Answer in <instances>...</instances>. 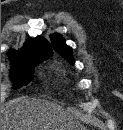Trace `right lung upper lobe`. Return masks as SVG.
I'll use <instances>...</instances> for the list:
<instances>
[{
  "mask_svg": "<svg viewBox=\"0 0 123 130\" xmlns=\"http://www.w3.org/2000/svg\"><path fill=\"white\" fill-rule=\"evenodd\" d=\"M52 49L48 42L42 38L29 39L24 43V46L18 52L15 50L9 51L10 59H15L23 56H46L51 55Z\"/></svg>",
  "mask_w": 123,
  "mask_h": 130,
  "instance_id": "cb5924a9",
  "label": "right lung upper lobe"
}]
</instances>
